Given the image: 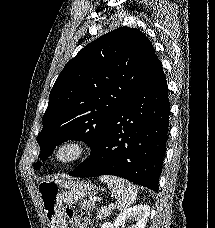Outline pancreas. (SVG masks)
<instances>
[{
	"instance_id": "1",
	"label": "pancreas",
	"mask_w": 215,
	"mask_h": 228,
	"mask_svg": "<svg viewBox=\"0 0 215 228\" xmlns=\"http://www.w3.org/2000/svg\"><path fill=\"white\" fill-rule=\"evenodd\" d=\"M112 214L111 208H99L95 220H102V218H107Z\"/></svg>"
}]
</instances>
